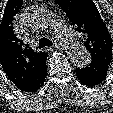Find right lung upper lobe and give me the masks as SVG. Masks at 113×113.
<instances>
[{
    "label": "right lung upper lobe",
    "instance_id": "obj_1",
    "mask_svg": "<svg viewBox=\"0 0 113 113\" xmlns=\"http://www.w3.org/2000/svg\"><path fill=\"white\" fill-rule=\"evenodd\" d=\"M22 1L8 0L0 24V63L8 78L21 90L37 79L47 59L46 53H35L13 31V17Z\"/></svg>",
    "mask_w": 113,
    "mask_h": 113
}]
</instances>
